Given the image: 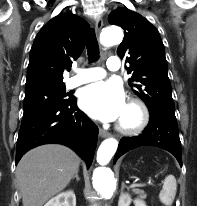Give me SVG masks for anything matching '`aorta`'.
<instances>
[{"label":"aorta","instance_id":"obj_1","mask_svg":"<svg viewBox=\"0 0 197 206\" xmlns=\"http://www.w3.org/2000/svg\"><path fill=\"white\" fill-rule=\"evenodd\" d=\"M123 39V32L118 27H107L101 33V43L110 47L119 44ZM118 142L114 138L104 140L97 151V167L93 173V186L103 197H110L116 190V180L110 169L105 167L114 156Z\"/></svg>","mask_w":197,"mask_h":206}]
</instances>
